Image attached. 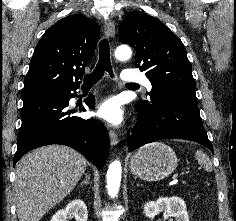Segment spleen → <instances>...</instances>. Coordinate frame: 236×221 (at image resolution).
Here are the masks:
<instances>
[{"label":"spleen","instance_id":"spleen-1","mask_svg":"<svg viewBox=\"0 0 236 221\" xmlns=\"http://www.w3.org/2000/svg\"><path fill=\"white\" fill-rule=\"evenodd\" d=\"M196 158L198 160V163L202 164L206 171L212 170L211 161L204 152H202L201 150H197Z\"/></svg>","mask_w":236,"mask_h":221}]
</instances>
